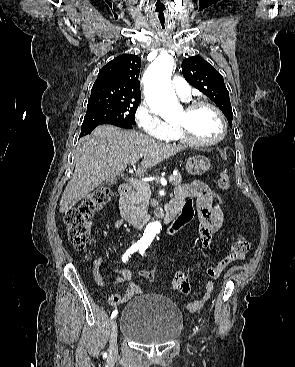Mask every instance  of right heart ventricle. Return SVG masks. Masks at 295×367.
Listing matches in <instances>:
<instances>
[{"label": "right heart ventricle", "instance_id": "obj_1", "mask_svg": "<svg viewBox=\"0 0 295 367\" xmlns=\"http://www.w3.org/2000/svg\"><path fill=\"white\" fill-rule=\"evenodd\" d=\"M169 141H179V142H185L183 137L180 135L176 127H173V130L170 134V136L166 139Z\"/></svg>", "mask_w": 295, "mask_h": 367}]
</instances>
